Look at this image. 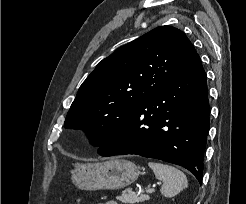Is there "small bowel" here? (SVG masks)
<instances>
[{
	"label": "small bowel",
	"mask_w": 246,
	"mask_h": 204,
	"mask_svg": "<svg viewBox=\"0 0 246 204\" xmlns=\"http://www.w3.org/2000/svg\"><path fill=\"white\" fill-rule=\"evenodd\" d=\"M99 204H118V203L115 202V201H108V202H106V203H99Z\"/></svg>",
	"instance_id": "c3829d8e"
}]
</instances>
